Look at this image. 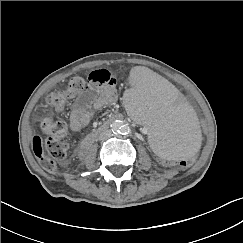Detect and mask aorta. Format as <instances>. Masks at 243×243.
I'll list each match as a JSON object with an SVG mask.
<instances>
[{"instance_id":"aorta-1","label":"aorta","mask_w":243,"mask_h":243,"mask_svg":"<svg viewBox=\"0 0 243 243\" xmlns=\"http://www.w3.org/2000/svg\"><path fill=\"white\" fill-rule=\"evenodd\" d=\"M112 131L116 134H128L130 132V127L121 120H115L111 125Z\"/></svg>"}]
</instances>
